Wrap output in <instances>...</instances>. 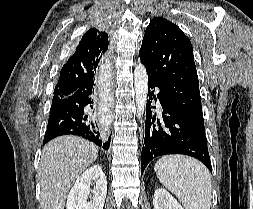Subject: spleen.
I'll return each mask as SVG.
<instances>
[{"instance_id":"spleen-1","label":"spleen","mask_w":253,"mask_h":209,"mask_svg":"<svg viewBox=\"0 0 253 209\" xmlns=\"http://www.w3.org/2000/svg\"><path fill=\"white\" fill-rule=\"evenodd\" d=\"M159 181L185 209H210L211 175L199 161L180 155L163 156L154 167Z\"/></svg>"}]
</instances>
